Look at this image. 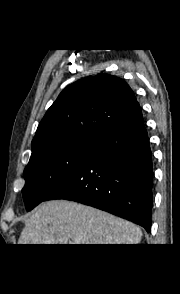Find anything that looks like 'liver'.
Returning <instances> with one entry per match:
<instances>
[{
  "instance_id": "liver-1",
  "label": "liver",
  "mask_w": 180,
  "mask_h": 294,
  "mask_svg": "<svg viewBox=\"0 0 180 294\" xmlns=\"http://www.w3.org/2000/svg\"><path fill=\"white\" fill-rule=\"evenodd\" d=\"M141 229L107 212L66 200L48 201L26 218L19 244H138Z\"/></svg>"
}]
</instances>
